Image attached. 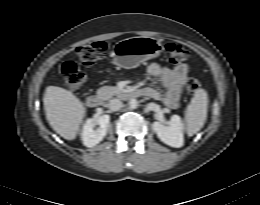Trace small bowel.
<instances>
[{
  "mask_svg": "<svg viewBox=\"0 0 260 205\" xmlns=\"http://www.w3.org/2000/svg\"><path fill=\"white\" fill-rule=\"evenodd\" d=\"M147 74L150 78L158 79L165 91L161 92L151 86H146L140 89L143 96L161 101L171 109L177 108L187 82L188 66L179 64L175 67H168L151 63L147 67Z\"/></svg>",
  "mask_w": 260,
  "mask_h": 205,
  "instance_id": "small-bowel-1",
  "label": "small bowel"
}]
</instances>
